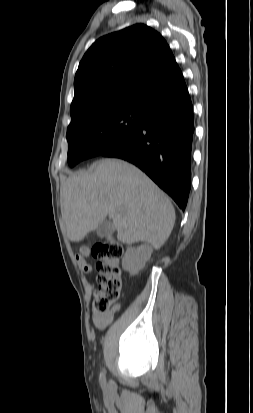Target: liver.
Instances as JSON below:
<instances>
[{
	"instance_id": "obj_1",
	"label": "liver",
	"mask_w": 253,
	"mask_h": 413,
	"mask_svg": "<svg viewBox=\"0 0 253 413\" xmlns=\"http://www.w3.org/2000/svg\"><path fill=\"white\" fill-rule=\"evenodd\" d=\"M67 236L79 242L109 216L117 239L160 249L170 236L175 210L167 195L141 170L119 159H103L71 175L62 189Z\"/></svg>"
}]
</instances>
